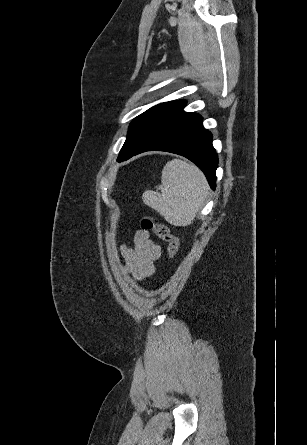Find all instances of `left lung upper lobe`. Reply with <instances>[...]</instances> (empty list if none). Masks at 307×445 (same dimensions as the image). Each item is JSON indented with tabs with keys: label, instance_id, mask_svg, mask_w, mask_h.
<instances>
[{
	"label": "left lung upper lobe",
	"instance_id": "5c2ea615",
	"mask_svg": "<svg viewBox=\"0 0 307 445\" xmlns=\"http://www.w3.org/2000/svg\"><path fill=\"white\" fill-rule=\"evenodd\" d=\"M186 101H170L158 104L137 116L130 124L127 139L117 161L122 162L148 138L186 114L182 109Z\"/></svg>",
	"mask_w": 307,
	"mask_h": 445
}]
</instances>
